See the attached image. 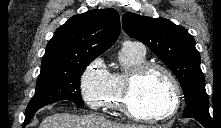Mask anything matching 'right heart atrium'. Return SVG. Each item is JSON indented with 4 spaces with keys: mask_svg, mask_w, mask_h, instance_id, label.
Wrapping results in <instances>:
<instances>
[{
    "mask_svg": "<svg viewBox=\"0 0 221 128\" xmlns=\"http://www.w3.org/2000/svg\"><path fill=\"white\" fill-rule=\"evenodd\" d=\"M108 84L109 71L104 60L97 57L84 68L80 81V93L89 108H102V98Z\"/></svg>",
    "mask_w": 221,
    "mask_h": 128,
    "instance_id": "obj_1",
    "label": "right heart atrium"
}]
</instances>
